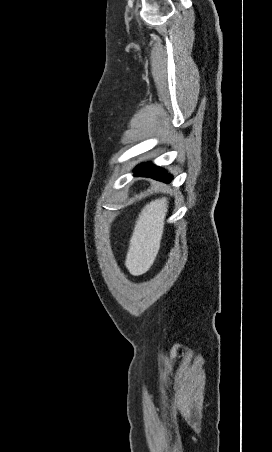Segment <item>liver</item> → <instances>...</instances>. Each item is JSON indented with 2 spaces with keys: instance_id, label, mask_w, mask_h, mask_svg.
<instances>
[{
  "instance_id": "obj_1",
  "label": "liver",
  "mask_w": 272,
  "mask_h": 452,
  "mask_svg": "<svg viewBox=\"0 0 272 452\" xmlns=\"http://www.w3.org/2000/svg\"><path fill=\"white\" fill-rule=\"evenodd\" d=\"M167 211L168 201L163 197L151 201L139 214L125 261L130 274L142 275L152 266L159 251Z\"/></svg>"
}]
</instances>
